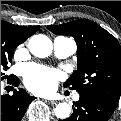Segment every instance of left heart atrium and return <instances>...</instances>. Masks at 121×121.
<instances>
[{"instance_id":"1","label":"left heart atrium","mask_w":121,"mask_h":121,"mask_svg":"<svg viewBox=\"0 0 121 121\" xmlns=\"http://www.w3.org/2000/svg\"><path fill=\"white\" fill-rule=\"evenodd\" d=\"M60 74L48 67L30 64L26 67L25 83L37 94H49L57 88Z\"/></svg>"}]
</instances>
